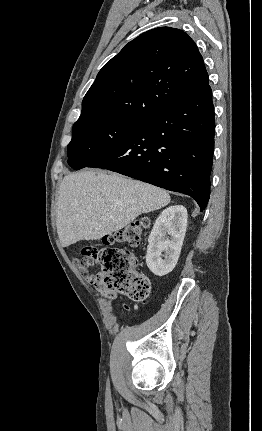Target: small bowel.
Listing matches in <instances>:
<instances>
[{"instance_id": "1", "label": "small bowel", "mask_w": 262, "mask_h": 431, "mask_svg": "<svg viewBox=\"0 0 262 431\" xmlns=\"http://www.w3.org/2000/svg\"><path fill=\"white\" fill-rule=\"evenodd\" d=\"M86 280L88 283L93 284L96 286L98 292L105 298L109 299L110 301H117L120 299L119 294L115 291L108 290L107 288L103 287L101 284L96 282L93 277L90 274L85 275Z\"/></svg>"}]
</instances>
